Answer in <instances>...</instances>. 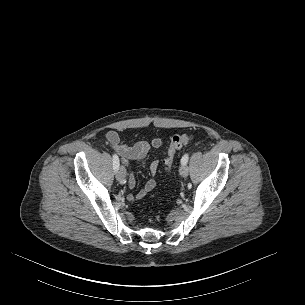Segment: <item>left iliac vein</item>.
Returning a JSON list of instances; mask_svg holds the SVG:
<instances>
[{"mask_svg":"<svg viewBox=\"0 0 305 305\" xmlns=\"http://www.w3.org/2000/svg\"><path fill=\"white\" fill-rule=\"evenodd\" d=\"M179 172H180V175L182 177H187L188 176L189 172H188V167L186 166V164L181 165Z\"/></svg>","mask_w":305,"mask_h":305,"instance_id":"1","label":"left iliac vein"}]
</instances>
